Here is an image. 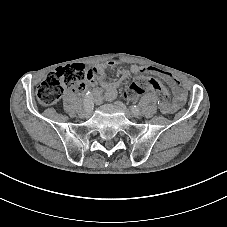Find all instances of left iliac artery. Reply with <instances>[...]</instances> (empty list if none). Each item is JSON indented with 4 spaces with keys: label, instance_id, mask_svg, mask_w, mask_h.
Returning a JSON list of instances; mask_svg holds the SVG:
<instances>
[{
    "label": "left iliac artery",
    "instance_id": "44dca946",
    "mask_svg": "<svg viewBox=\"0 0 227 227\" xmlns=\"http://www.w3.org/2000/svg\"><path fill=\"white\" fill-rule=\"evenodd\" d=\"M134 108L136 109V110L134 111L135 114L138 115L139 112H140V108H139L138 106H134V107L132 108V111L134 110Z\"/></svg>",
    "mask_w": 227,
    "mask_h": 227
}]
</instances>
